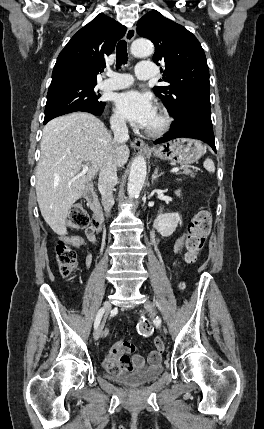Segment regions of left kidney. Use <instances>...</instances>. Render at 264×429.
Masks as SVG:
<instances>
[{
    "instance_id": "obj_1",
    "label": "left kidney",
    "mask_w": 264,
    "mask_h": 429,
    "mask_svg": "<svg viewBox=\"0 0 264 429\" xmlns=\"http://www.w3.org/2000/svg\"><path fill=\"white\" fill-rule=\"evenodd\" d=\"M175 194L180 196V190L176 191ZM180 221L181 218L178 213L159 214L154 220L153 227L159 234L168 237L173 234Z\"/></svg>"
}]
</instances>
